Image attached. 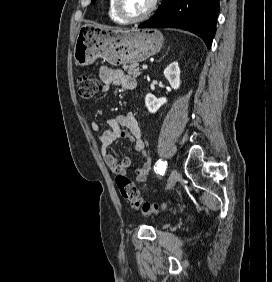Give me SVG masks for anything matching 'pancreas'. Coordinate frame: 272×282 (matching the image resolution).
Segmentation results:
<instances>
[{
  "instance_id": "pancreas-1",
  "label": "pancreas",
  "mask_w": 272,
  "mask_h": 282,
  "mask_svg": "<svg viewBox=\"0 0 272 282\" xmlns=\"http://www.w3.org/2000/svg\"><path fill=\"white\" fill-rule=\"evenodd\" d=\"M123 69L125 71H127L128 75H130L134 78L138 77L141 74L138 64H131V65H128V66L125 65V66H123Z\"/></svg>"
}]
</instances>
